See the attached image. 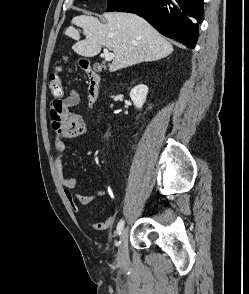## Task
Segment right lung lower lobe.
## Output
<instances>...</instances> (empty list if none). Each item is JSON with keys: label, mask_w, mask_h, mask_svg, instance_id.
<instances>
[{"label": "right lung lower lobe", "mask_w": 249, "mask_h": 294, "mask_svg": "<svg viewBox=\"0 0 249 294\" xmlns=\"http://www.w3.org/2000/svg\"><path fill=\"white\" fill-rule=\"evenodd\" d=\"M203 3L204 0H127L117 11L136 13L166 37L194 48Z\"/></svg>", "instance_id": "98d812e1"}]
</instances>
